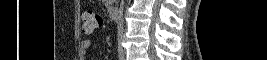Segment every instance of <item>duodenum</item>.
Returning <instances> with one entry per match:
<instances>
[{
    "label": "duodenum",
    "mask_w": 267,
    "mask_h": 60,
    "mask_svg": "<svg viewBox=\"0 0 267 60\" xmlns=\"http://www.w3.org/2000/svg\"><path fill=\"white\" fill-rule=\"evenodd\" d=\"M109 15L112 19H116L119 14V9L116 5H112L108 8Z\"/></svg>",
    "instance_id": "obj_1"
}]
</instances>
